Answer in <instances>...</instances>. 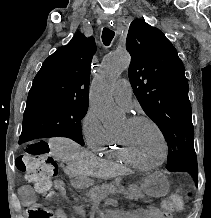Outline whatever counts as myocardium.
<instances>
[{
  "label": "myocardium",
  "instance_id": "myocardium-1",
  "mask_svg": "<svg viewBox=\"0 0 211 218\" xmlns=\"http://www.w3.org/2000/svg\"><path fill=\"white\" fill-rule=\"evenodd\" d=\"M128 120L131 123H138V122L145 121V122H148L149 124H151L155 128V130L157 131L159 138H160L161 147H162V155H161L160 160L155 162V163L142 162L133 155V153L131 152V150H130V148L125 140V138L117 133L116 139H117V142H118L121 150L123 151V153L126 155V157L133 164H135L139 167H142V168L151 169V168H155V167H158L159 165H161L165 159V156H166V140H165L164 132L161 129V127L158 125V123L155 120H153L152 118L145 116V115L131 116Z\"/></svg>",
  "mask_w": 211,
  "mask_h": 218
}]
</instances>
